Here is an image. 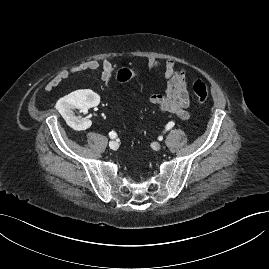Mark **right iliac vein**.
Listing matches in <instances>:
<instances>
[{
  "label": "right iliac vein",
  "mask_w": 269,
  "mask_h": 269,
  "mask_svg": "<svg viewBox=\"0 0 269 269\" xmlns=\"http://www.w3.org/2000/svg\"><path fill=\"white\" fill-rule=\"evenodd\" d=\"M109 147H110V149H112V150H117L118 147H119V145H118V143H117L116 141H110V142H109Z\"/></svg>",
  "instance_id": "obj_1"
}]
</instances>
